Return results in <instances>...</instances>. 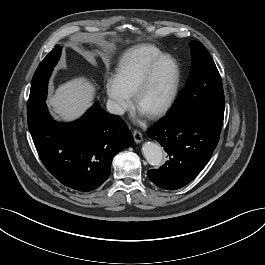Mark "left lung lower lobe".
Listing matches in <instances>:
<instances>
[{"label": "left lung lower lobe", "mask_w": 265, "mask_h": 265, "mask_svg": "<svg viewBox=\"0 0 265 265\" xmlns=\"http://www.w3.org/2000/svg\"><path fill=\"white\" fill-rule=\"evenodd\" d=\"M220 132L208 121L194 115L164 117L147 134L164 147L169 160L159 169L149 170V179L167 190L187 185L210 160Z\"/></svg>", "instance_id": "1"}]
</instances>
